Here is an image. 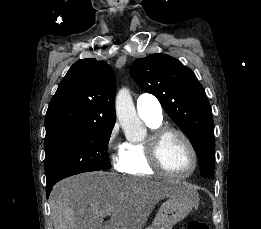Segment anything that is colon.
<instances>
[{"mask_svg": "<svg viewBox=\"0 0 261 229\" xmlns=\"http://www.w3.org/2000/svg\"><path fill=\"white\" fill-rule=\"evenodd\" d=\"M186 229H210V227L202 220L192 219L188 222Z\"/></svg>", "mask_w": 261, "mask_h": 229, "instance_id": "1", "label": "colon"}]
</instances>
